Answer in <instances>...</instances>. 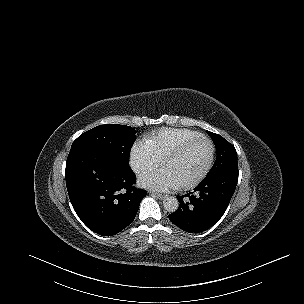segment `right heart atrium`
Masks as SVG:
<instances>
[{"label":"right heart atrium","mask_w":304,"mask_h":304,"mask_svg":"<svg viewBox=\"0 0 304 304\" xmlns=\"http://www.w3.org/2000/svg\"><path fill=\"white\" fill-rule=\"evenodd\" d=\"M158 157L149 143L137 142L130 155V162L133 168L137 170H146L154 168L157 165Z\"/></svg>","instance_id":"obj_1"}]
</instances>
